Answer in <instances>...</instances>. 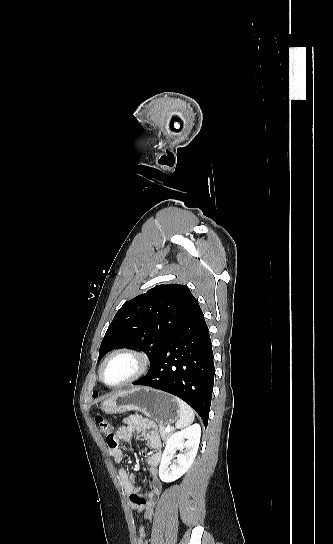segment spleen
I'll use <instances>...</instances> for the list:
<instances>
[{
    "label": "spleen",
    "instance_id": "3e777b00",
    "mask_svg": "<svg viewBox=\"0 0 333 544\" xmlns=\"http://www.w3.org/2000/svg\"><path fill=\"white\" fill-rule=\"evenodd\" d=\"M175 400L179 406V419L175 423V427L177 429H182L190 425L194 421L195 416L192 408L188 404L178 397H175Z\"/></svg>",
    "mask_w": 333,
    "mask_h": 544
}]
</instances>
